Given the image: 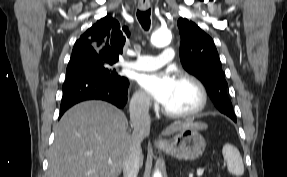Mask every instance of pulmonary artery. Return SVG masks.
<instances>
[{
	"label": "pulmonary artery",
	"instance_id": "obj_1",
	"mask_svg": "<svg viewBox=\"0 0 287 177\" xmlns=\"http://www.w3.org/2000/svg\"><path fill=\"white\" fill-rule=\"evenodd\" d=\"M133 56H136L137 59L131 63H124V66L132 68L139 71H147L157 69L166 63L174 59V49L173 47L166 46L164 47L160 55H147V54H136L132 52Z\"/></svg>",
	"mask_w": 287,
	"mask_h": 177
}]
</instances>
